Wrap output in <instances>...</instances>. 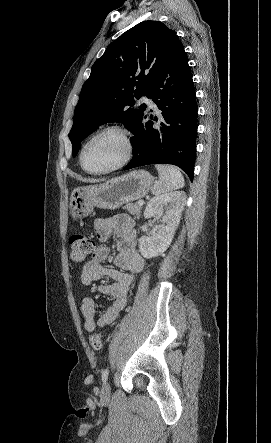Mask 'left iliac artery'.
<instances>
[{"label":"left iliac artery","mask_w":271,"mask_h":443,"mask_svg":"<svg viewBox=\"0 0 271 443\" xmlns=\"http://www.w3.org/2000/svg\"><path fill=\"white\" fill-rule=\"evenodd\" d=\"M108 374H109V370H108V368H106V369H104L103 371H102V381L105 383L106 382V380H107V378H108Z\"/></svg>","instance_id":"left-iliac-artery-1"}]
</instances>
